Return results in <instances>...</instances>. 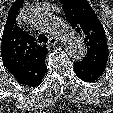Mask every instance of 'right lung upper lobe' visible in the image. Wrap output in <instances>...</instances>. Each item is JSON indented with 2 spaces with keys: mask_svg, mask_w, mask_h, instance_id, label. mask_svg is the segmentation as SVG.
<instances>
[{
  "mask_svg": "<svg viewBox=\"0 0 113 113\" xmlns=\"http://www.w3.org/2000/svg\"><path fill=\"white\" fill-rule=\"evenodd\" d=\"M23 0H16L11 6L3 32L1 57L5 67L20 84L37 86L45 71L47 50L38 46L32 37L16 24V16Z\"/></svg>",
  "mask_w": 113,
  "mask_h": 113,
  "instance_id": "cb5924a9",
  "label": "right lung upper lobe"
}]
</instances>
